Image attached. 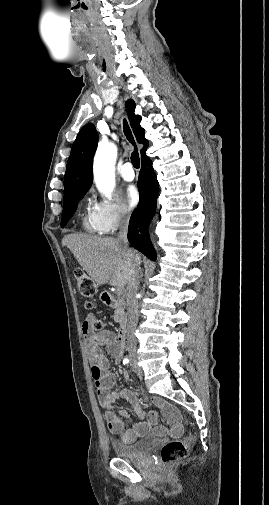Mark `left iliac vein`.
Here are the masks:
<instances>
[{
  "instance_id": "left-iliac-vein-1",
  "label": "left iliac vein",
  "mask_w": 269,
  "mask_h": 505,
  "mask_svg": "<svg viewBox=\"0 0 269 505\" xmlns=\"http://www.w3.org/2000/svg\"><path fill=\"white\" fill-rule=\"evenodd\" d=\"M131 366H132V370L134 372L137 373L139 371V368H138L137 364L134 361H132Z\"/></svg>"
}]
</instances>
